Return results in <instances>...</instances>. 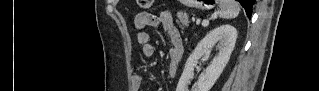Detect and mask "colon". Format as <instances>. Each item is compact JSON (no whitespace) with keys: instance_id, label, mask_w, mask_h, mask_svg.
Segmentation results:
<instances>
[{"instance_id":"colon-1","label":"colon","mask_w":319,"mask_h":91,"mask_svg":"<svg viewBox=\"0 0 319 91\" xmlns=\"http://www.w3.org/2000/svg\"><path fill=\"white\" fill-rule=\"evenodd\" d=\"M139 4H140L141 8L149 9L152 6L153 1H151V0H140Z\"/></svg>"}]
</instances>
